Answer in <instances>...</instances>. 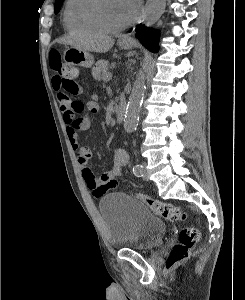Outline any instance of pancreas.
Segmentation results:
<instances>
[{
    "label": "pancreas",
    "instance_id": "cf45deb5",
    "mask_svg": "<svg viewBox=\"0 0 245 300\" xmlns=\"http://www.w3.org/2000/svg\"><path fill=\"white\" fill-rule=\"evenodd\" d=\"M108 61L105 60H100L96 63V67L92 69V75L94 79L100 81L104 80L107 81L109 80L107 78V75L109 74L108 72Z\"/></svg>",
    "mask_w": 245,
    "mask_h": 300
}]
</instances>
